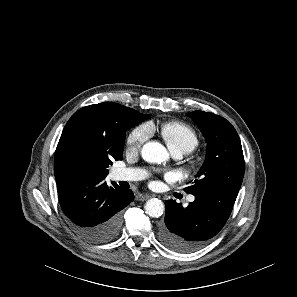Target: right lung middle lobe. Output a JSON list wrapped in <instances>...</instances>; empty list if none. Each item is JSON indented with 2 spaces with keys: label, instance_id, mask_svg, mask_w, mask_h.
<instances>
[{
  "label": "right lung middle lobe",
  "instance_id": "right-lung-middle-lobe-1",
  "mask_svg": "<svg viewBox=\"0 0 297 297\" xmlns=\"http://www.w3.org/2000/svg\"><path fill=\"white\" fill-rule=\"evenodd\" d=\"M149 117H150L149 114L143 115L134 109H131V108L128 109L125 113L126 131L129 130L130 128L136 126L140 122L148 119Z\"/></svg>",
  "mask_w": 297,
  "mask_h": 297
}]
</instances>
